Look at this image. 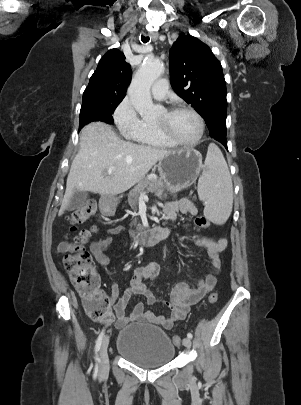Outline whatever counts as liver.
<instances>
[{"label":"liver","mask_w":301,"mask_h":405,"mask_svg":"<svg viewBox=\"0 0 301 405\" xmlns=\"http://www.w3.org/2000/svg\"><path fill=\"white\" fill-rule=\"evenodd\" d=\"M169 152L124 141L102 122L86 125L80 132L79 151L70 167L59 216L76 190L102 196L123 193L139 183ZM105 170L107 176L103 175Z\"/></svg>","instance_id":"obj_1"}]
</instances>
